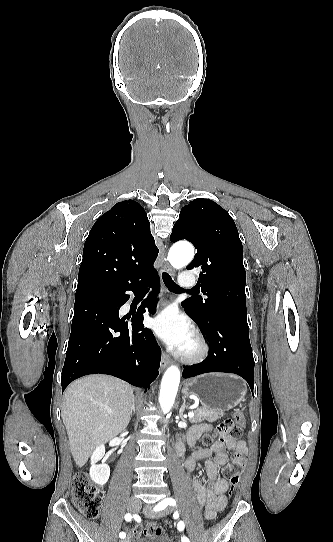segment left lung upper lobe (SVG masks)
<instances>
[{"instance_id":"left-lung-upper-lobe-1","label":"left lung upper lobe","mask_w":333,"mask_h":542,"mask_svg":"<svg viewBox=\"0 0 333 542\" xmlns=\"http://www.w3.org/2000/svg\"><path fill=\"white\" fill-rule=\"evenodd\" d=\"M181 239L197 249L186 268L201 267L197 287L207 297L183 301L185 312L201 329L211 327L221 313L247 315L242 243L231 216L212 200L194 199L181 209L172 229L170 240Z\"/></svg>"}]
</instances>
